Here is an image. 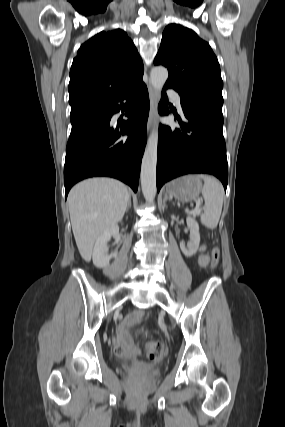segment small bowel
<instances>
[{"label": "small bowel", "mask_w": 285, "mask_h": 427, "mask_svg": "<svg viewBox=\"0 0 285 427\" xmlns=\"http://www.w3.org/2000/svg\"><path fill=\"white\" fill-rule=\"evenodd\" d=\"M199 258L198 263L202 267H206L209 264V257L204 253L205 252V246L201 245L199 248ZM143 316L142 310H136L128 315V317L124 321L125 327H130L136 324ZM119 346H121L124 349V354H126L129 357H134L138 354V351L132 347V339L128 334H122L119 341Z\"/></svg>", "instance_id": "1"}]
</instances>
